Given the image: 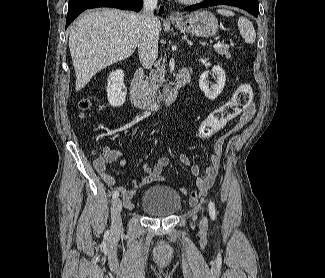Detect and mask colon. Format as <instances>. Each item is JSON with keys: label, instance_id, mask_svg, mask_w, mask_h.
I'll list each match as a JSON object with an SVG mask.
<instances>
[{"label": "colon", "instance_id": "obj_1", "mask_svg": "<svg viewBox=\"0 0 325 278\" xmlns=\"http://www.w3.org/2000/svg\"><path fill=\"white\" fill-rule=\"evenodd\" d=\"M253 99V89L250 84L243 83L239 85L232 98L213 110L199 125L197 136L208 138L215 132L223 128L231 119L247 109ZM80 108L86 112L91 109V102L87 99L80 102Z\"/></svg>", "mask_w": 325, "mask_h": 278}]
</instances>
